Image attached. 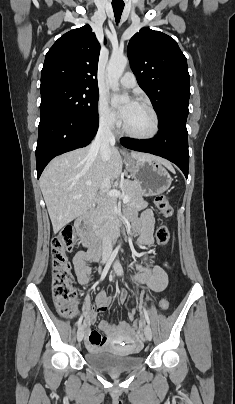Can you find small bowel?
Here are the masks:
<instances>
[{
  "label": "small bowel",
  "instance_id": "1",
  "mask_svg": "<svg viewBox=\"0 0 235 404\" xmlns=\"http://www.w3.org/2000/svg\"><path fill=\"white\" fill-rule=\"evenodd\" d=\"M154 218L151 211H144L140 218L133 222V232L137 235V245L141 249L139 252L140 263L136 264L138 274L134 281L141 287L148 289L150 292H161L168 285V273L172 269V263L166 261L163 265H153L149 252L146 250L153 243ZM93 251L87 248L79 251L73 258L75 272L78 282L81 286L86 285L91 278L92 267L90 263L93 261ZM126 294L121 293L119 301L123 303ZM112 298L106 292L101 291L95 297L96 308L87 307L83 311L85 344L89 350L100 347L110 346L122 341H129L132 335V327L130 322L135 319L136 310L131 309L128 313L129 321H121L117 325H112L108 321L100 322V329L105 333L102 337L97 331L91 330L90 326L96 320L97 311L105 312L109 309Z\"/></svg>",
  "mask_w": 235,
  "mask_h": 404
}]
</instances>
